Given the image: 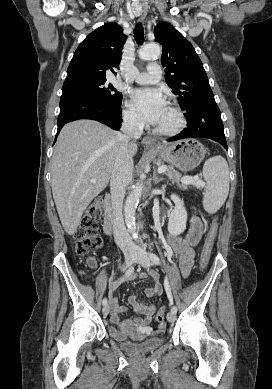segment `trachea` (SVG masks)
Listing matches in <instances>:
<instances>
[{"label": "trachea", "mask_w": 272, "mask_h": 389, "mask_svg": "<svg viewBox=\"0 0 272 389\" xmlns=\"http://www.w3.org/2000/svg\"><path fill=\"white\" fill-rule=\"evenodd\" d=\"M134 38L137 44H143L144 42V29L141 23H138L134 29Z\"/></svg>", "instance_id": "3493384b"}]
</instances>
